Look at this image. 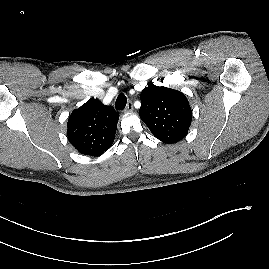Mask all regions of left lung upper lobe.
<instances>
[{
    "mask_svg": "<svg viewBox=\"0 0 269 269\" xmlns=\"http://www.w3.org/2000/svg\"><path fill=\"white\" fill-rule=\"evenodd\" d=\"M139 115L153 135L168 144L182 140L192 121L189 102L182 92L153 84L141 92Z\"/></svg>",
    "mask_w": 269,
    "mask_h": 269,
    "instance_id": "1",
    "label": "left lung upper lobe"
}]
</instances>
